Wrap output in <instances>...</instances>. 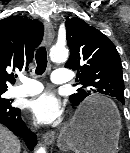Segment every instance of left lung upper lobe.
Masks as SVG:
<instances>
[{
	"mask_svg": "<svg viewBox=\"0 0 130 153\" xmlns=\"http://www.w3.org/2000/svg\"><path fill=\"white\" fill-rule=\"evenodd\" d=\"M70 48L66 68L77 70L76 82L82 85L70 96L79 105L93 93L107 94L124 103L121 59L111 40L78 17L65 19Z\"/></svg>",
	"mask_w": 130,
	"mask_h": 153,
	"instance_id": "left-lung-upper-lobe-1",
	"label": "left lung upper lobe"
}]
</instances>
